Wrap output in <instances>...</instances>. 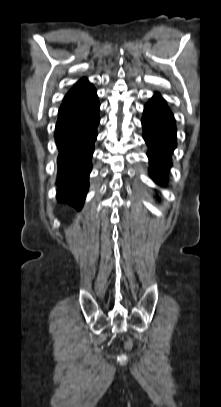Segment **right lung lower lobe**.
<instances>
[{
	"instance_id": "98d812e1",
	"label": "right lung lower lobe",
	"mask_w": 221,
	"mask_h": 407,
	"mask_svg": "<svg viewBox=\"0 0 221 407\" xmlns=\"http://www.w3.org/2000/svg\"><path fill=\"white\" fill-rule=\"evenodd\" d=\"M99 107L96 90L89 86L67 94L58 112L54 134L59 150L57 199L77 210L82 208L89 187Z\"/></svg>"
}]
</instances>
